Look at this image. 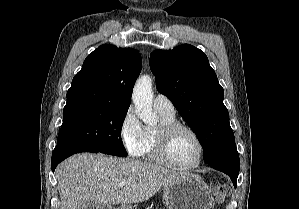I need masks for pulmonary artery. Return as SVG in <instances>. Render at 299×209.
<instances>
[{"instance_id":"1","label":"pulmonary artery","mask_w":299,"mask_h":209,"mask_svg":"<svg viewBox=\"0 0 299 209\" xmlns=\"http://www.w3.org/2000/svg\"><path fill=\"white\" fill-rule=\"evenodd\" d=\"M154 108L165 115H175V108L168 97L163 94H157L153 101Z\"/></svg>"}]
</instances>
